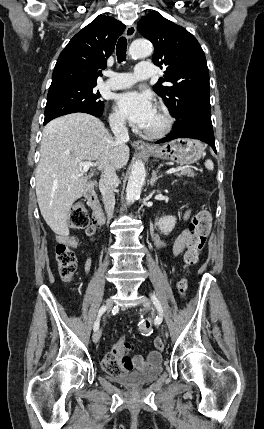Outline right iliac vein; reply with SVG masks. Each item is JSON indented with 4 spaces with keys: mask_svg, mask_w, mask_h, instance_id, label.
<instances>
[{
    "mask_svg": "<svg viewBox=\"0 0 264 429\" xmlns=\"http://www.w3.org/2000/svg\"><path fill=\"white\" fill-rule=\"evenodd\" d=\"M113 300L110 298L106 301L105 306L108 309L106 312L109 314L113 310ZM105 318L108 316L106 313L103 315ZM101 337V330L98 329L93 333L92 340L94 343H97Z\"/></svg>",
    "mask_w": 264,
    "mask_h": 429,
    "instance_id": "1",
    "label": "right iliac vein"
}]
</instances>
